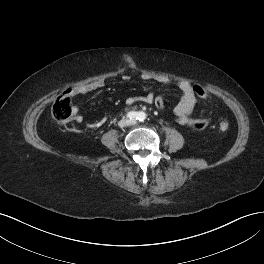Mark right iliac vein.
Listing matches in <instances>:
<instances>
[{
  "label": "right iliac vein",
  "instance_id": "obj_1",
  "mask_svg": "<svg viewBox=\"0 0 264 264\" xmlns=\"http://www.w3.org/2000/svg\"><path fill=\"white\" fill-rule=\"evenodd\" d=\"M118 125H119L121 128L126 127V126L129 125V121L126 120V119H122V120L119 121Z\"/></svg>",
  "mask_w": 264,
  "mask_h": 264
}]
</instances>
